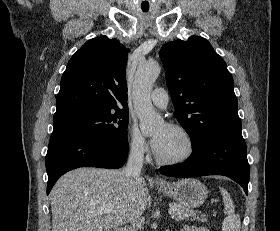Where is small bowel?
<instances>
[{
	"instance_id": "c3829d8e",
	"label": "small bowel",
	"mask_w": 280,
	"mask_h": 231,
	"mask_svg": "<svg viewBox=\"0 0 280 231\" xmlns=\"http://www.w3.org/2000/svg\"><path fill=\"white\" fill-rule=\"evenodd\" d=\"M182 231H207V229L199 226H185Z\"/></svg>"
}]
</instances>
